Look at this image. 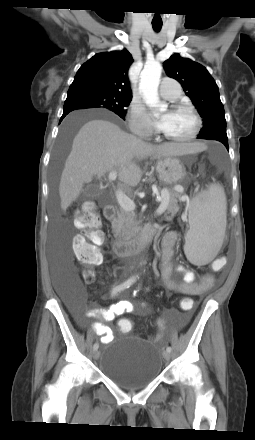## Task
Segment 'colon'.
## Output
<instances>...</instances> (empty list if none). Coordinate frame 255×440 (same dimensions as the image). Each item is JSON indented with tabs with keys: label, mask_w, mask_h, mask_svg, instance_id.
<instances>
[{
	"label": "colon",
	"mask_w": 255,
	"mask_h": 440,
	"mask_svg": "<svg viewBox=\"0 0 255 440\" xmlns=\"http://www.w3.org/2000/svg\"><path fill=\"white\" fill-rule=\"evenodd\" d=\"M75 226L82 231L73 241V249L76 257L85 265L94 267L102 262V252L100 247L105 242V235L100 229L101 219L96 212L93 203H86L83 210L77 214L74 220ZM86 282L93 280V272L88 271L84 276ZM181 311H193V298H179ZM122 332H129L132 323L129 319H121L118 323Z\"/></svg>",
	"instance_id": "obj_1"
}]
</instances>
